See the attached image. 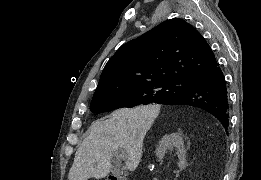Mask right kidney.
Listing matches in <instances>:
<instances>
[{"mask_svg": "<svg viewBox=\"0 0 261 180\" xmlns=\"http://www.w3.org/2000/svg\"><path fill=\"white\" fill-rule=\"evenodd\" d=\"M173 146L177 148V156H179L180 160L179 168L180 170H185L187 166L186 150L180 134H166V136H163L156 150V156L157 158H163L164 154H166V150L173 148Z\"/></svg>", "mask_w": 261, "mask_h": 180, "instance_id": "ca27d5eb", "label": "right kidney"}]
</instances>
